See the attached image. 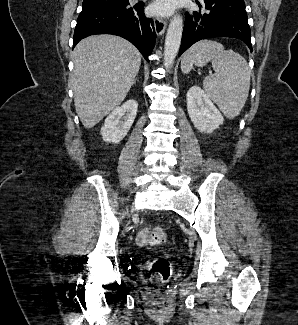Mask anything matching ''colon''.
<instances>
[{
  "mask_svg": "<svg viewBox=\"0 0 298 325\" xmlns=\"http://www.w3.org/2000/svg\"><path fill=\"white\" fill-rule=\"evenodd\" d=\"M166 235L162 228H145L138 232L136 243L139 246H155L165 241ZM172 273L171 264L166 258L157 259L149 270V278L156 288H161Z\"/></svg>",
  "mask_w": 298,
  "mask_h": 325,
  "instance_id": "colon-1",
  "label": "colon"
}]
</instances>
